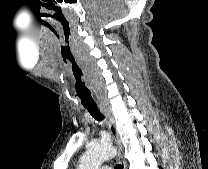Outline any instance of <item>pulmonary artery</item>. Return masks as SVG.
I'll return each instance as SVG.
<instances>
[{"instance_id": "1", "label": "pulmonary artery", "mask_w": 208, "mask_h": 169, "mask_svg": "<svg viewBox=\"0 0 208 169\" xmlns=\"http://www.w3.org/2000/svg\"><path fill=\"white\" fill-rule=\"evenodd\" d=\"M101 169H112L109 165L104 164L100 167Z\"/></svg>"}]
</instances>
